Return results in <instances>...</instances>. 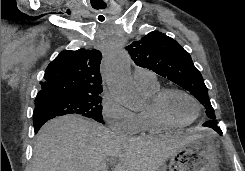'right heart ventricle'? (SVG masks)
<instances>
[{
  "instance_id": "right-heart-ventricle-1",
  "label": "right heart ventricle",
  "mask_w": 245,
  "mask_h": 171,
  "mask_svg": "<svg viewBox=\"0 0 245 171\" xmlns=\"http://www.w3.org/2000/svg\"><path fill=\"white\" fill-rule=\"evenodd\" d=\"M145 95L151 98L160 90L158 82L151 86H140ZM139 119V134H159L165 132L168 128L159 124L150 113L148 107L137 113Z\"/></svg>"
}]
</instances>
